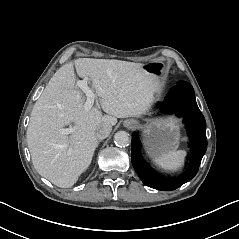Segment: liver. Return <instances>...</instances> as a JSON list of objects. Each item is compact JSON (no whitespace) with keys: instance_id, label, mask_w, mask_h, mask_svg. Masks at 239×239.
Returning a JSON list of instances; mask_svg holds the SVG:
<instances>
[{"instance_id":"obj_1","label":"liver","mask_w":239,"mask_h":239,"mask_svg":"<svg viewBox=\"0 0 239 239\" xmlns=\"http://www.w3.org/2000/svg\"><path fill=\"white\" fill-rule=\"evenodd\" d=\"M77 74L92 81L97 108L84 109L85 98L75 85L73 63L63 65L45 87L31 112L27 143L37 172L54 185L69 188L92 161L98 141L96 129L116 125L117 118L139 117L154 101L162 85L143 64L121 60L79 58ZM74 123L69 136L60 129Z\"/></svg>"}]
</instances>
